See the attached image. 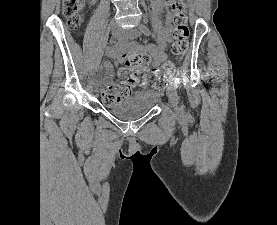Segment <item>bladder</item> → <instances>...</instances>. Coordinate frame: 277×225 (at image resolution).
I'll return each mask as SVG.
<instances>
[{"label":"bladder","instance_id":"1","mask_svg":"<svg viewBox=\"0 0 277 225\" xmlns=\"http://www.w3.org/2000/svg\"><path fill=\"white\" fill-rule=\"evenodd\" d=\"M159 96L151 89H142L120 102L107 104L114 116L124 120L138 119L150 112L158 102Z\"/></svg>","mask_w":277,"mask_h":225}]
</instances>
